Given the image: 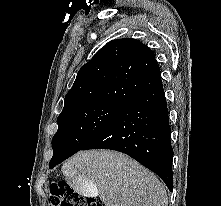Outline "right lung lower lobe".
<instances>
[{
	"label": "right lung lower lobe",
	"mask_w": 221,
	"mask_h": 206,
	"mask_svg": "<svg viewBox=\"0 0 221 206\" xmlns=\"http://www.w3.org/2000/svg\"><path fill=\"white\" fill-rule=\"evenodd\" d=\"M162 82L144 92L81 150L123 152L156 173L173 190V149Z\"/></svg>",
	"instance_id": "1"
}]
</instances>
